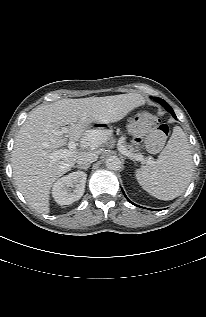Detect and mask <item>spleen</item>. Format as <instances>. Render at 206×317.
I'll return each mask as SVG.
<instances>
[{"label":"spleen","instance_id":"1","mask_svg":"<svg viewBox=\"0 0 206 317\" xmlns=\"http://www.w3.org/2000/svg\"><path fill=\"white\" fill-rule=\"evenodd\" d=\"M193 162L188 139L176 126L163 151L156 161L135 172L142 188L160 200H172L180 196L190 183Z\"/></svg>","mask_w":206,"mask_h":317}]
</instances>
